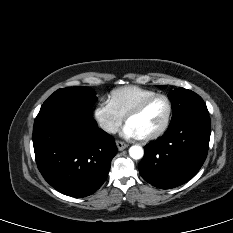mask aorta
Returning <instances> with one entry per match:
<instances>
[{
    "instance_id": "aorta-1",
    "label": "aorta",
    "mask_w": 233,
    "mask_h": 233,
    "mask_svg": "<svg viewBox=\"0 0 233 233\" xmlns=\"http://www.w3.org/2000/svg\"><path fill=\"white\" fill-rule=\"evenodd\" d=\"M129 155L132 159H141L144 155V150L141 146L134 145L129 148Z\"/></svg>"
}]
</instances>
